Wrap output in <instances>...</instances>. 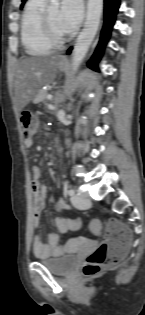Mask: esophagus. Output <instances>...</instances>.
I'll return each mask as SVG.
<instances>
[{"label": "esophagus", "mask_w": 145, "mask_h": 315, "mask_svg": "<svg viewBox=\"0 0 145 315\" xmlns=\"http://www.w3.org/2000/svg\"><path fill=\"white\" fill-rule=\"evenodd\" d=\"M63 61L67 62V59H63Z\"/></svg>", "instance_id": "1"}]
</instances>
